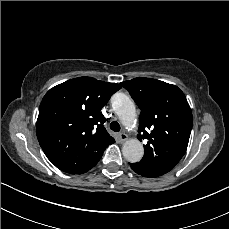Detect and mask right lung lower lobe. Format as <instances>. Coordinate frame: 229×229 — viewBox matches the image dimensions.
Wrapping results in <instances>:
<instances>
[{
  "instance_id": "right-lung-lower-lobe-1",
  "label": "right lung lower lobe",
  "mask_w": 229,
  "mask_h": 229,
  "mask_svg": "<svg viewBox=\"0 0 229 229\" xmlns=\"http://www.w3.org/2000/svg\"><path fill=\"white\" fill-rule=\"evenodd\" d=\"M103 155V154H102ZM101 155V156H102ZM101 156L85 171V172H87L88 170H90L92 167H94L96 164H97V162L100 160V158H101ZM84 172V173H85Z\"/></svg>"
}]
</instances>
